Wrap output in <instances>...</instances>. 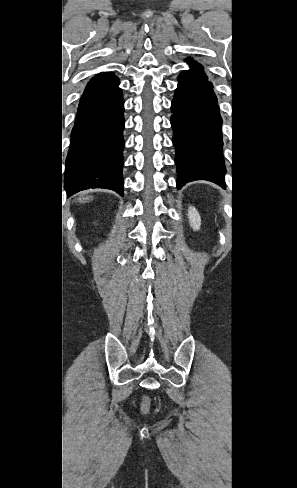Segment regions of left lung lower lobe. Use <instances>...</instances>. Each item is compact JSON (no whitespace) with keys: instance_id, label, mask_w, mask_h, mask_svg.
I'll list each match as a JSON object with an SVG mask.
<instances>
[{"instance_id":"obj_1","label":"left lung lower lobe","mask_w":297,"mask_h":488,"mask_svg":"<svg viewBox=\"0 0 297 488\" xmlns=\"http://www.w3.org/2000/svg\"><path fill=\"white\" fill-rule=\"evenodd\" d=\"M171 104L177 187L207 180L224 187L222 120L212 85L183 71Z\"/></svg>"}]
</instances>
